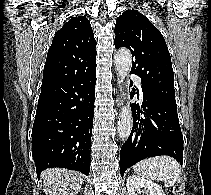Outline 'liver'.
Segmentation results:
<instances>
[{
    "mask_svg": "<svg viewBox=\"0 0 211 195\" xmlns=\"http://www.w3.org/2000/svg\"><path fill=\"white\" fill-rule=\"evenodd\" d=\"M42 178L46 195H77L83 182L79 172L64 168L46 169Z\"/></svg>",
    "mask_w": 211,
    "mask_h": 195,
    "instance_id": "1",
    "label": "liver"
}]
</instances>
